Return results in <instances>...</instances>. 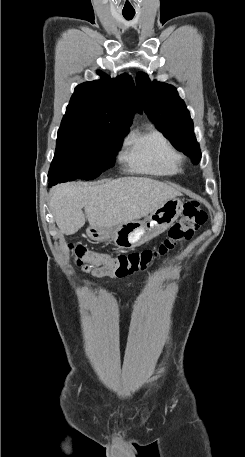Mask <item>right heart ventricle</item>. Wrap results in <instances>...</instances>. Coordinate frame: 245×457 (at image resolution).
<instances>
[{"instance_id": "right-heart-ventricle-1", "label": "right heart ventricle", "mask_w": 245, "mask_h": 457, "mask_svg": "<svg viewBox=\"0 0 245 457\" xmlns=\"http://www.w3.org/2000/svg\"><path fill=\"white\" fill-rule=\"evenodd\" d=\"M127 157L136 169L172 175L180 171V156L164 133L153 125L133 127L125 139Z\"/></svg>"}]
</instances>
